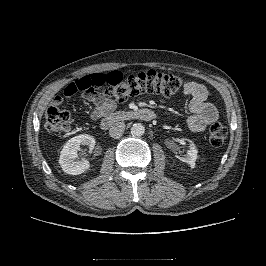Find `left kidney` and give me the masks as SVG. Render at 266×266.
<instances>
[{
  "label": "left kidney",
  "mask_w": 266,
  "mask_h": 266,
  "mask_svg": "<svg viewBox=\"0 0 266 266\" xmlns=\"http://www.w3.org/2000/svg\"><path fill=\"white\" fill-rule=\"evenodd\" d=\"M198 150L194 143L190 142L189 149L187 150V155L185 157L180 158L181 161L190 165V167L195 166V161L198 158Z\"/></svg>",
  "instance_id": "1"
}]
</instances>
